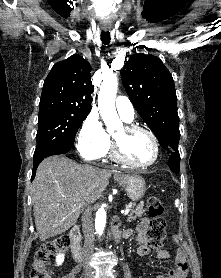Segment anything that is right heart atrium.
Returning a JSON list of instances; mask_svg holds the SVG:
<instances>
[{
  "instance_id": "right-heart-atrium-1",
  "label": "right heart atrium",
  "mask_w": 221,
  "mask_h": 278,
  "mask_svg": "<svg viewBox=\"0 0 221 278\" xmlns=\"http://www.w3.org/2000/svg\"><path fill=\"white\" fill-rule=\"evenodd\" d=\"M110 146V137L99 117L89 114L83 121L76 140L79 154L86 160H97L105 155Z\"/></svg>"
}]
</instances>
